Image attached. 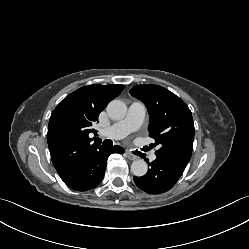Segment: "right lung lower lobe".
Segmentation results:
<instances>
[{"instance_id":"right-lung-lower-lobe-1","label":"right lung lower lobe","mask_w":249,"mask_h":249,"mask_svg":"<svg viewBox=\"0 0 249 249\" xmlns=\"http://www.w3.org/2000/svg\"><path fill=\"white\" fill-rule=\"evenodd\" d=\"M113 152L122 154L124 149L120 146L106 148L98 145L76 167L74 172L63 181L76 191H87L96 187L104 177L107 159Z\"/></svg>"}]
</instances>
